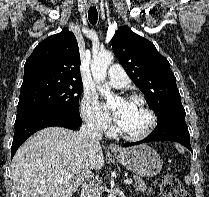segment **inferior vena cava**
Wrapping results in <instances>:
<instances>
[{
    "instance_id": "obj_1",
    "label": "inferior vena cava",
    "mask_w": 209,
    "mask_h": 197,
    "mask_svg": "<svg viewBox=\"0 0 209 197\" xmlns=\"http://www.w3.org/2000/svg\"><path fill=\"white\" fill-rule=\"evenodd\" d=\"M77 134L84 140L95 144H98L99 140L102 139L101 128L94 122L83 124ZM93 176L94 175L90 170L87 171V178H92ZM81 197H100V190L98 189V186L94 185V183H84Z\"/></svg>"
}]
</instances>
